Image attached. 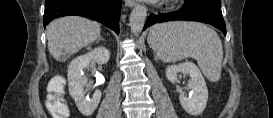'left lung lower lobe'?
<instances>
[{"instance_id": "0a47b994", "label": "left lung lower lobe", "mask_w": 273, "mask_h": 118, "mask_svg": "<svg viewBox=\"0 0 273 118\" xmlns=\"http://www.w3.org/2000/svg\"><path fill=\"white\" fill-rule=\"evenodd\" d=\"M175 20H189L207 23L218 28L226 36V26L221 11L210 6L185 0L184 6L175 12L151 14L144 30L155 23Z\"/></svg>"}]
</instances>
